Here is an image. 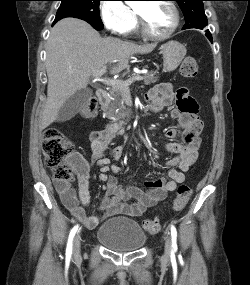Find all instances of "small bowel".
Here are the masks:
<instances>
[{
	"label": "small bowel",
	"mask_w": 250,
	"mask_h": 285,
	"mask_svg": "<svg viewBox=\"0 0 250 285\" xmlns=\"http://www.w3.org/2000/svg\"><path fill=\"white\" fill-rule=\"evenodd\" d=\"M153 111H160L164 107L176 102V107L171 111V117L178 121L183 130V142H168L165 150L174 156L167 161L168 176L148 179L145 190L134 185H121L114 175H107L108 165L119 160L123 155L122 145H117L112 150L107 147L118 139V133L111 128L93 130L89 133L92 151V160L100 167V179L106 183V194L101 202L100 210L103 216L88 215L85 210L90 202V168L87 161L79 154L72 153L70 164L78 180V192L68 182L56 183V190L62 203L70 213L88 229L95 228L102 218L126 215L140 217L147 208L162 201L168 192L174 191L185 180V174L197 158L200 145L199 135L202 122L197 118L198 105L188 94L187 90L180 88L174 91L169 83H161L152 87L146 96ZM177 129L170 127L166 130L168 138L177 136ZM132 200V202H129Z\"/></svg>",
	"instance_id": "small-bowel-1"
}]
</instances>
